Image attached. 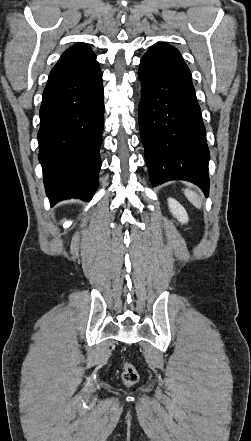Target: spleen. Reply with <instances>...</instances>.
<instances>
[{
  "label": "spleen",
  "instance_id": "spleen-1",
  "mask_svg": "<svg viewBox=\"0 0 251 441\" xmlns=\"http://www.w3.org/2000/svg\"><path fill=\"white\" fill-rule=\"evenodd\" d=\"M184 194L187 197V199L198 209L201 208V200L199 196L193 192L192 190L185 189Z\"/></svg>",
  "mask_w": 251,
  "mask_h": 441
}]
</instances>
